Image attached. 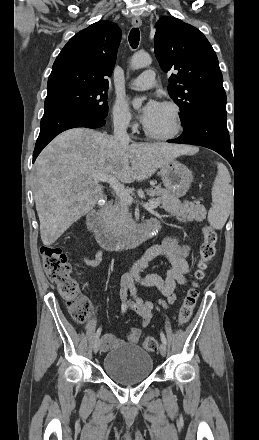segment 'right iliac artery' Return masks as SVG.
Segmentation results:
<instances>
[{
    "label": "right iliac artery",
    "mask_w": 259,
    "mask_h": 440,
    "mask_svg": "<svg viewBox=\"0 0 259 440\" xmlns=\"http://www.w3.org/2000/svg\"><path fill=\"white\" fill-rule=\"evenodd\" d=\"M100 334H101V327L98 328V330H97V332L95 334V340L99 338Z\"/></svg>",
    "instance_id": "obj_1"
}]
</instances>
